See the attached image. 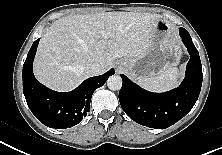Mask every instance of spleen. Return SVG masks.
Here are the masks:
<instances>
[{
    "mask_svg": "<svg viewBox=\"0 0 222 155\" xmlns=\"http://www.w3.org/2000/svg\"><path fill=\"white\" fill-rule=\"evenodd\" d=\"M179 70L176 67L169 68L158 75L142 77L139 84L151 91H166L178 84Z\"/></svg>",
    "mask_w": 222,
    "mask_h": 155,
    "instance_id": "3e777b00",
    "label": "spleen"
}]
</instances>
